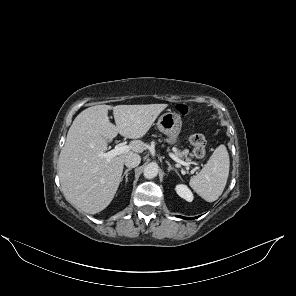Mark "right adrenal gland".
I'll return each instance as SVG.
<instances>
[{
    "label": "right adrenal gland",
    "mask_w": 296,
    "mask_h": 296,
    "mask_svg": "<svg viewBox=\"0 0 296 296\" xmlns=\"http://www.w3.org/2000/svg\"><path fill=\"white\" fill-rule=\"evenodd\" d=\"M131 170V168H128L125 170L124 174L121 177V182L123 181V178L125 177V184L128 182V172Z\"/></svg>",
    "instance_id": "obj_1"
}]
</instances>
